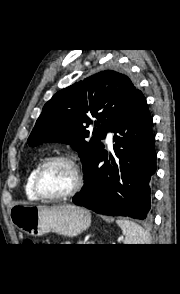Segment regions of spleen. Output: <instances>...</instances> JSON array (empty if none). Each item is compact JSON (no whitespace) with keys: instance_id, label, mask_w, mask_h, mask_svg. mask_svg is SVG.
<instances>
[{"instance_id":"1","label":"spleen","mask_w":180,"mask_h":294,"mask_svg":"<svg viewBox=\"0 0 180 294\" xmlns=\"http://www.w3.org/2000/svg\"><path fill=\"white\" fill-rule=\"evenodd\" d=\"M117 224L125 236L123 244H149V234L137 223L126 219H118Z\"/></svg>"}]
</instances>
